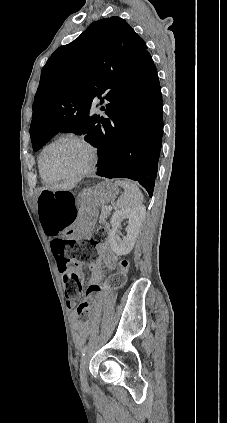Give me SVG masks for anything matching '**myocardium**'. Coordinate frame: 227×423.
Segmentation results:
<instances>
[{"instance_id": "myocardium-1", "label": "myocardium", "mask_w": 227, "mask_h": 423, "mask_svg": "<svg viewBox=\"0 0 227 423\" xmlns=\"http://www.w3.org/2000/svg\"><path fill=\"white\" fill-rule=\"evenodd\" d=\"M67 142H79V143L83 144L84 146H86L90 150L91 160H90L88 166L79 173L67 174V173L60 172V171H57L54 168H52L50 163H49V156L51 155V153L55 149H57L58 147H60L61 145L65 144ZM98 160H99L98 149L96 148V146L92 142H90L86 137H84L82 135L70 134V135L63 136V137L59 138L58 140L52 142L45 149V151L43 153L42 164H43V167H44V170L46 171V173L48 175H50L51 177H54L56 179L68 180V181H78V180L85 178L86 176L90 175L91 173H93L95 171L96 166L98 164Z\"/></svg>"}]
</instances>
